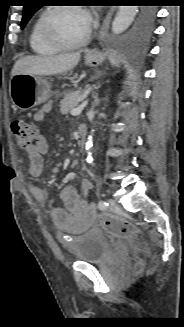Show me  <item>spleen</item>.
I'll list each match as a JSON object with an SVG mask.
<instances>
[{
  "mask_svg": "<svg viewBox=\"0 0 184 327\" xmlns=\"http://www.w3.org/2000/svg\"><path fill=\"white\" fill-rule=\"evenodd\" d=\"M110 61L112 65H117L115 58L111 57Z\"/></svg>",
  "mask_w": 184,
  "mask_h": 327,
  "instance_id": "spleen-1",
  "label": "spleen"
}]
</instances>
